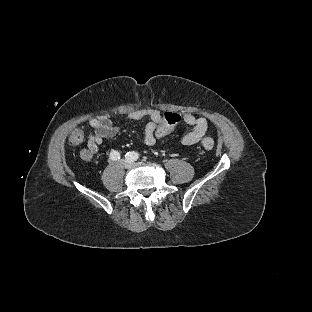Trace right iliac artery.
Instances as JSON below:
<instances>
[{"instance_id": "obj_1", "label": "right iliac artery", "mask_w": 312, "mask_h": 312, "mask_svg": "<svg viewBox=\"0 0 312 312\" xmlns=\"http://www.w3.org/2000/svg\"><path fill=\"white\" fill-rule=\"evenodd\" d=\"M125 156H126V155H125ZM110 158H111L112 160L120 159V154H119V152L113 150V151L110 153ZM126 159L131 160V161H135L133 158L128 157V156H126Z\"/></svg>"}]
</instances>
